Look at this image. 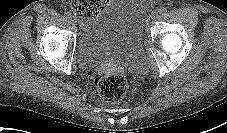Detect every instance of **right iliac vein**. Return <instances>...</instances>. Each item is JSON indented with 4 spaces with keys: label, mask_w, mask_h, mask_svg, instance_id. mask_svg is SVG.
<instances>
[{
    "label": "right iliac vein",
    "mask_w": 227,
    "mask_h": 133,
    "mask_svg": "<svg viewBox=\"0 0 227 133\" xmlns=\"http://www.w3.org/2000/svg\"><path fill=\"white\" fill-rule=\"evenodd\" d=\"M70 19H71V22H72V23H74V24L76 23V19H75L74 16H71Z\"/></svg>",
    "instance_id": "1"
}]
</instances>
